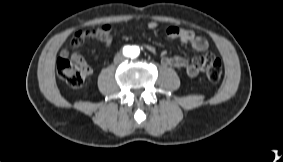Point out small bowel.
Here are the masks:
<instances>
[{
    "label": "small bowel",
    "mask_w": 283,
    "mask_h": 162,
    "mask_svg": "<svg viewBox=\"0 0 283 162\" xmlns=\"http://www.w3.org/2000/svg\"><path fill=\"white\" fill-rule=\"evenodd\" d=\"M147 28L149 30H157L158 23L155 21H150L147 23ZM110 30L111 28L108 24H102L95 30L79 31L73 36L71 40V46L73 48H78L83 43L84 39L97 38L101 40L107 47H109L112 43ZM165 34L171 39H176L183 44L191 45L192 48L198 52H205L209 46L208 41L204 37L197 36L193 31L177 26H168L165 29ZM146 49L152 53L156 52V49L151 45H147ZM68 55L69 52L67 49L62 50L61 56L67 57ZM73 58L85 62L82 56L79 54H74ZM206 58L207 56H202L189 61L181 56L168 57L165 53H161V63L163 65L183 71L189 77H195L199 74V72L204 68V62Z\"/></svg>",
    "instance_id": "1"
}]
</instances>
